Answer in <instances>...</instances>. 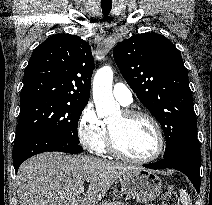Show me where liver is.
I'll list each match as a JSON object with an SVG mask.
<instances>
[{"label":"liver","mask_w":212,"mask_h":205,"mask_svg":"<svg viewBox=\"0 0 212 205\" xmlns=\"http://www.w3.org/2000/svg\"><path fill=\"white\" fill-rule=\"evenodd\" d=\"M137 169L84 155L45 152L19 168L16 178L20 205H96L111 185ZM89 182L85 196L78 190Z\"/></svg>","instance_id":"6515ba94"}]
</instances>
